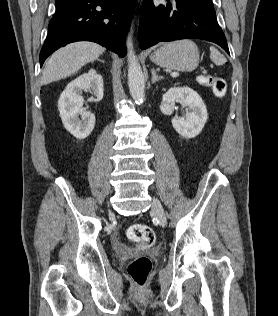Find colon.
Returning a JSON list of instances; mask_svg holds the SVG:
<instances>
[{
    "mask_svg": "<svg viewBox=\"0 0 278 316\" xmlns=\"http://www.w3.org/2000/svg\"><path fill=\"white\" fill-rule=\"evenodd\" d=\"M200 83L209 87L213 94L218 98H221L226 94V81L220 76H202L200 78ZM127 235L129 239L137 245L139 250L150 248L155 241L154 231L149 226L143 224L130 226L127 230ZM151 270V260L145 256L136 257L128 264V274L136 287L140 289L147 285Z\"/></svg>",
    "mask_w": 278,
    "mask_h": 316,
    "instance_id": "1",
    "label": "colon"
}]
</instances>
